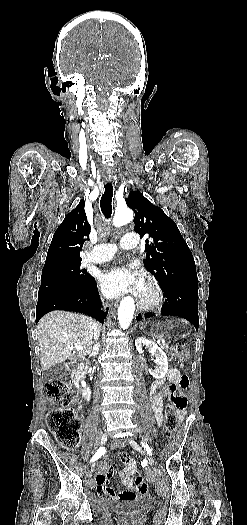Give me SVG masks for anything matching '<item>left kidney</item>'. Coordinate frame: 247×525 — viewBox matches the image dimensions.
Listing matches in <instances>:
<instances>
[{
  "label": "left kidney",
  "mask_w": 247,
  "mask_h": 525,
  "mask_svg": "<svg viewBox=\"0 0 247 525\" xmlns=\"http://www.w3.org/2000/svg\"><path fill=\"white\" fill-rule=\"evenodd\" d=\"M135 347L138 353H143V347H146L149 353L154 355V363H156L158 367H156V371H151L152 377H165L168 371V363L164 351H162L154 341H149V339H144V337H138V339H136Z\"/></svg>",
  "instance_id": "obj_1"
}]
</instances>
